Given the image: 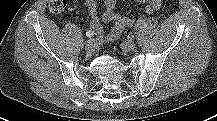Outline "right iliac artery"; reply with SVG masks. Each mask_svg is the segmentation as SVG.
Returning <instances> with one entry per match:
<instances>
[{
    "mask_svg": "<svg viewBox=\"0 0 217 121\" xmlns=\"http://www.w3.org/2000/svg\"><path fill=\"white\" fill-rule=\"evenodd\" d=\"M86 43H91V44L97 45L99 42L97 39H87Z\"/></svg>",
    "mask_w": 217,
    "mask_h": 121,
    "instance_id": "obj_1",
    "label": "right iliac artery"
}]
</instances>
